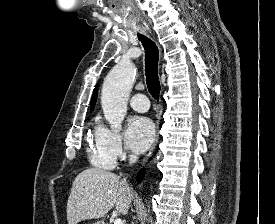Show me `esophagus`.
<instances>
[{
	"label": "esophagus",
	"instance_id": "1",
	"mask_svg": "<svg viewBox=\"0 0 275 224\" xmlns=\"http://www.w3.org/2000/svg\"><path fill=\"white\" fill-rule=\"evenodd\" d=\"M158 123H159V119H158V121H157V124H158ZM157 141H158V136L156 137V139H155L153 145L151 146L149 152L147 153V155H146L145 158L143 159V161H142L143 164H144V163L150 158V156L152 155V153H153V151H154V149H155V147H156Z\"/></svg>",
	"mask_w": 275,
	"mask_h": 224
}]
</instances>
